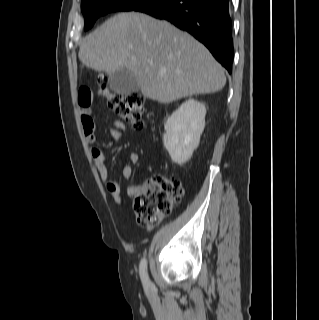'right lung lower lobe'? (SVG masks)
<instances>
[{
  "mask_svg": "<svg viewBox=\"0 0 319 320\" xmlns=\"http://www.w3.org/2000/svg\"><path fill=\"white\" fill-rule=\"evenodd\" d=\"M137 11L168 20L189 32L231 73L233 39L229 0H157Z\"/></svg>",
  "mask_w": 319,
  "mask_h": 320,
  "instance_id": "right-lung-lower-lobe-1",
  "label": "right lung lower lobe"
}]
</instances>
